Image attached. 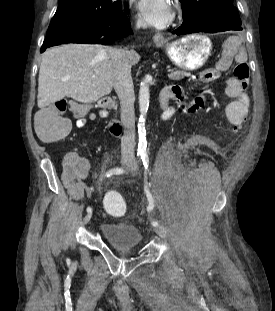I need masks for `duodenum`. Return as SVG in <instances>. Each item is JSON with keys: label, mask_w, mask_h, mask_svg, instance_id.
Instances as JSON below:
<instances>
[{"label": "duodenum", "mask_w": 275, "mask_h": 311, "mask_svg": "<svg viewBox=\"0 0 275 311\" xmlns=\"http://www.w3.org/2000/svg\"><path fill=\"white\" fill-rule=\"evenodd\" d=\"M160 102H161V106L163 107L164 105L167 104L168 99L166 97H162L160 98ZM101 106L106 109H113L115 106V103L113 100L106 98L102 100ZM122 130H123L122 124L118 119L110 120L109 131L111 132V134L115 136H120L122 134Z\"/></svg>", "instance_id": "410a0bca"}]
</instances>
